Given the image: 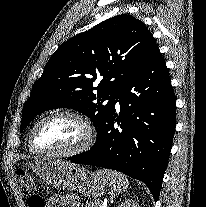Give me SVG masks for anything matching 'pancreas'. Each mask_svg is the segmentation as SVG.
Masks as SVG:
<instances>
[{
  "instance_id": "pancreas-1",
  "label": "pancreas",
  "mask_w": 206,
  "mask_h": 207,
  "mask_svg": "<svg viewBox=\"0 0 206 207\" xmlns=\"http://www.w3.org/2000/svg\"><path fill=\"white\" fill-rule=\"evenodd\" d=\"M85 207H101V201L96 200L94 202H87Z\"/></svg>"
}]
</instances>
